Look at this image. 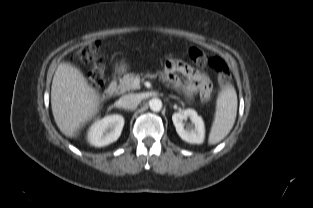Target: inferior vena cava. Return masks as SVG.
I'll return each instance as SVG.
<instances>
[{
  "label": "inferior vena cava",
  "mask_w": 313,
  "mask_h": 208,
  "mask_svg": "<svg viewBox=\"0 0 313 208\" xmlns=\"http://www.w3.org/2000/svg\"><path fill=\"white\" fill-rule=\"evenodd\" d=\"M140 103V98L136 94H127L119 99V105L125 109H133Z\"/></svg>",
  "instance_id": "obj_1"
}]
</instances>
